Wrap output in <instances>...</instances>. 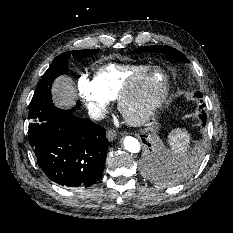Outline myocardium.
<instances>
[{"instance_id":"f54148a6","label":"myocardium","mask_w":233,"mask_h":233,"mask_svg":"<svg viewBox=\"0 0 233 233\" xmlns=\"http://www.w3.org/2000/svg\"><path fill=\"white\" fill-rule=\"evenodd\" d=\"M158 79L161 82L158 87ZM171 88L169 75L162 69L148 71L143 77L127 84L117 97V107L123 118L132 126H140L148 122L163 105ZM155 93L150 97L148 103L138 111H131L130 104L133 99L141 94Z\"/></svg>"}]
</instances>
